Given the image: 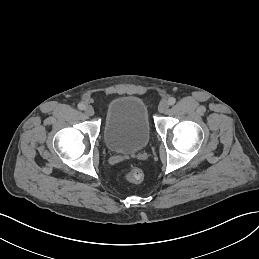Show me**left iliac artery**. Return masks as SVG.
Listing matches in <instances>:
<instances>
[{"mask_svg": "<svg viewBox=\"0 0 259 259\" xmlns=\"http://www.w3.org/2000/svg\"><path fill=\"white\" fill-rule=\"evenodd\" d=\"M175 102H176V99H175L174 97H170V98L168 99V104H169V105H174Z\"/></svg>", "mask_w": 259, "mask_h": 259, "instance_id": "1", "label": "left iliac artery"}]
</instances>
